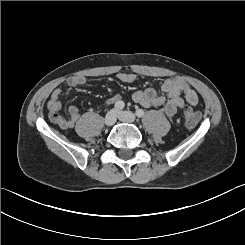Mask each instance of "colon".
<instances>
[{
    "instance_id": "obj_1",
    "label": "colon",
    "mask_w": 245,
    "mask_h": 245,
    "mask_svg": "<svg viewBox=\"0 0 245 245\" xmlns=\"http://www.w3.org/2000/svg\"><path fill=\"white\" fill-rule=\"evenodd\" d=\"M201 118V114L192 107L186 106L184 109V122L187 127H195Z\"/></svg>"
}]
</instances>
